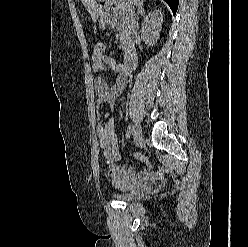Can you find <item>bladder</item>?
Listing matches in <instances>:
<instances>
[{"label": "bladder", "instance_id": "obj_1", "mask_svg": "<svg viewBox=\"0 0 248 247\" xmlns=\"http://www.w3.org/2000/svg\"><path fill=\"white\" fill-rule=\"evenodd\" d=\"M152 190L151 184H141L131 191H119L114 196L121 201H132L149 194Z\"/></svg>", "mask_w": 248, "mask_h": 247}]
</instances>
